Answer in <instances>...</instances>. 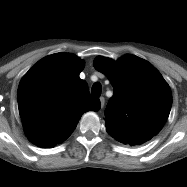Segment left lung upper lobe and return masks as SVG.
I'll return each instance as SVG.
<instances>
[{"label": "left lung upper lobe", "mask_w": 187, "mask_h": 187, "mask_svg": "<svg viewBox=\"0 0 187 187\" xmlns=\"http://www.w3.org/2000/svg\"><path fill=\"white\" fill-rule=\"evenodd\" d=\"M93 65L114 88L105 109L108 134L130 146L141 145L155 136L172 105L170 87L160 72L146 60L129 54L117 61L97 56Z\"/></svg>", "instance_id": "5c2ea615"}]
</instances>
